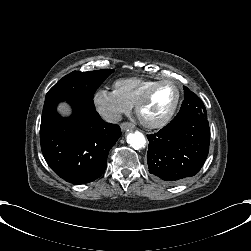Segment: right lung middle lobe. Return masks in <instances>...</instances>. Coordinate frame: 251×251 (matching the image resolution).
Wrapping results in <instances>:
<instances>
[{
	"label": "right lung middle lobe",
	"instance_id": "obj_1",
	"mask_svg": "<svg viewBox=\"0 0 251 251\" xmlns=\"http://www.w3.org/2000/svg\"><path fill=\"white\" fill-rule=\"evenodd\" d=\"M114 70L102 69L89 72L73 71L59 80L46 94L42 114H46L59 102H79L94 106L93 96L102 82Z\"/></svg>",
	"mask_w": 251,
	"mask_h": 251
}]
</instances>
